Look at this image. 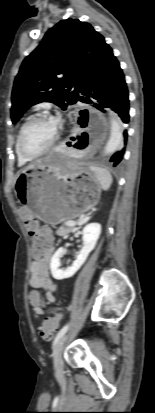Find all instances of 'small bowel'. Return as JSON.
I'll return each instance as SVG.
<instances>
[{
	"mask_svg": "<svg viewBox=\"0 0 155 413\" xmlns=\"http://www.w3.org/2000/svg\"><path fill=\"white\" fill-rule=\"evenodd\" d=\"M16 212L22 217L21 225L25 227L26 231H38V233L46 238L47 252L43 259L35 260L30 265V278L29 285L33 288L29 298L37 295L39 300L36 304L32 303L35 317H38L43 313L42 302L38 293L39 289H43L46 292L45 298L47 301L55 302V294L58 290L57 283L49 276V264L53 249V236L49 228L43 227V221L40 218H30L32 211L28 209L26 205H18Z\"/></svg>",
	"mask_w": 155,
	"mask_h": 413,
	"instance_id": "small-bowel-1",
	"label": "small bowel"
}]
</instances>
